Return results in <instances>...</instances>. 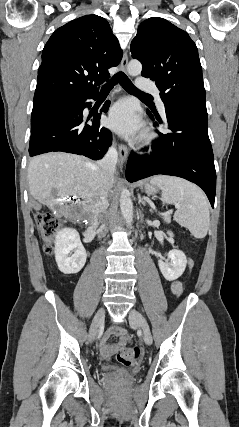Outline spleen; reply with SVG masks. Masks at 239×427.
I'll use <instances>...</instances> for the list:
<instances>
[{"mask_svg":"<svg viewBox=\"0 0 239 427\" xmlns=\"http://www.w3.org/2000/svg\"><path fill=\"white\" fill-rule=\"evenodd\" d=\"M150 183L162 190L163 204H175L174 219L186 227L196 238L207 235L210 213L206 195L195 184L187 180L165 175L151 178Z\"/></svg>","mask_w":239,"mask_h":427,"instance_id":"1","label":"spleen"}]
</instances>
